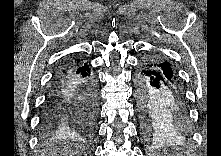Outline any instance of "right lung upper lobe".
I'll return each instance as SVG.
<instances>
[{
  "label": "right lung upper lobe",
  "mask_w": 221,
  "mask_h": 156,
  "mask_svg": "<svg viewBox=\"0 0 221 156\" xmlns=\"http://www.w3.org/2000/svg\"><path fill=\"white\" fill-rule=\"evenodd\" d=\"M81 64H82V62H80V61H78V60H77L75 63H74V62H70V63L66 64L61 71L65 70V69H68V68L77 67V66H79V65H81Z\"/></svg>",
  "instance_id": "obj_1"
}]
</instances>
